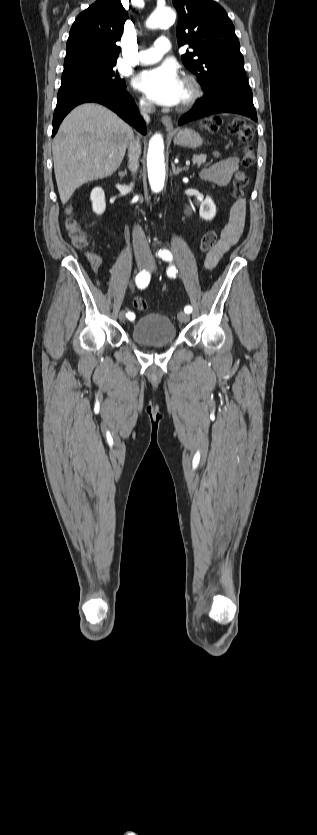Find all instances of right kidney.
Here are the masks:
<instances>
[{"label":"right kidney","instance_id":"obj_1","mask_svg":"<svg viewBox=\"0 0 317 835\" xmlns=\"http://www.w3.org/2000/svg\"><path fill=\"white\" fill-rule=\"evenodd\" d=\"M91 201L93 205V211L96 214H102L106 209L105 203V194L102 188L96 187L91 192Z\"/></svg>","mask_w":317,"mask_h":835}]
</instances>
